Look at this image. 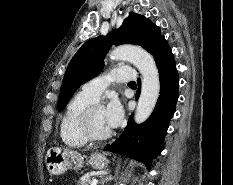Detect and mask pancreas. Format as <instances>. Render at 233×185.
Here are the masks:
<instances>
[{
  "label": "pancreas",
  "instance_id": "cf45deb5",
  "mask_svg": "<svg viewBox=\"0 0 233 185\" xmlns=\"http://www.w3.org/2000/svg\"><path fill=\"white\" fill-rule=\"evenodd\" d=\"M94 179V177L90 175H85L77 182L76 185H89V183Z\"/></svg>",
  "mask_w": 233,
  "mask_h": 185
}]
</instances>
